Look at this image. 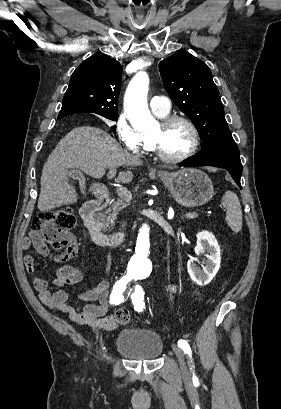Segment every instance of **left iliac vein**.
I'll return each mask as SVG.
<instances>
[{"instance_id":"4c4485c4","label":"left iliac vein","mask_w":281,"mask_h":409,"mask_svg":"<svg viewBox=\"0 0 281 409\" xmlns=\"http://www.w3.org/2000/svg\"><path fill=\"white\" fill-rule=\"evenodd\" d=\"M172 349H173V351H174V353H175V355H176V357H177V359L179 361L180 368H181V371H182L183 375H185V376L188 375L189 372H188V368H187V365H186L183 350L180 347L176 346V345H173Z\"/></svg>"}]
</instances>
